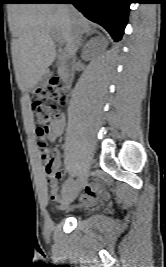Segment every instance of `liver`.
<instances>
[{
	"mask_svg": "<svg viewBox=\"0 0 166 267\" xmlns=\"http://www.w3.org/2000/svg\"><path fill=\"white\" fill-rule=\"evenodd\" d=\"M91 31L89 21L72 5L22 4L17 7L15 34L18 37L13 60L20 89L33 88L56 57L52 32L66 44L65 52L74 56L77 46L73 34Z\"/></svg>",
	"mask_w": 166,
	"mask_h": 267,
	"instance_id": "6515ba94",
	"label": "liver"
}]
</instances>
